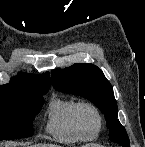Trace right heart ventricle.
<instances>
[{
	"label": "right heart ventricle",
	"instance_id": "obj_1",
	"mask_svg": "<svg viewBox=\"0 0 145 147\" xmlns=\"http://www.w3.org/2000/svg\"><path fill=\"white\" fill-rule=\"evenodd\" d=\"M80 101L53 96L47 108L46 131L62 142L89 141L97 137L94 131L84 130L77 118Z\"/></svg>",
	"mask_w": 145,
	"mask_h": 147
}]
</instances>
